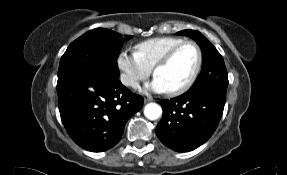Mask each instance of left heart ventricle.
Masks as SVG:
<instances>
[{"mask_svg": "<svg viewBox=\"0 0 287 175\" xmlns=\"http://www.w3.org/2000/svg\"><path fill=\"white\" fill-rule=\"evenodd\" d=\"M198 55L194 46L182 47L165 66L159 68L155 76L162 79L168 91L177 89L184 85L192 76Z\"/></svg>", "mask_w": 287, "mask_h": 175, "instance_id": "obj_1", "label": "left heart ventricle"}]
</instances>
